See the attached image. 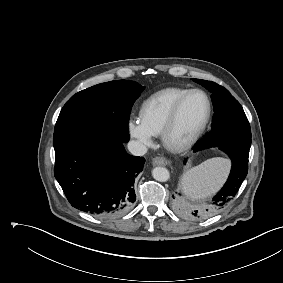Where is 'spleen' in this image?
<instances>
[{"mask_svg":"<svg viewBox=\"0 0 283 283\" xmlns=\"http://www.w3.org/2000/svg\"><path fill=\"white\" fill-rule=\"evenodd\" d=\"M229 163L224 158H212L189 170L182 178L183 192L190 198H205L224 182Z\"/></svg>","mask_w":283,"mask_h":283,"instance_id":"3e777b00","label":"spleen"}]
</instances>
